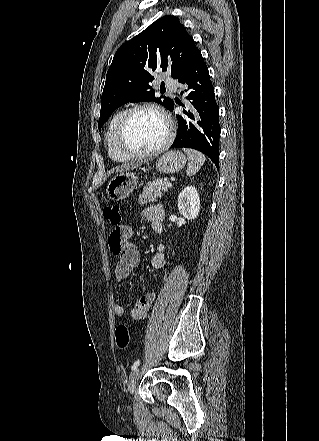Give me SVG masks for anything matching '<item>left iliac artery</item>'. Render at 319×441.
<instances>
[{
	"label": "left iliac artery",
	"instance_id": "44dca946",
	"mask_svg": "<svg viewBox=\"0 0 319 441\" xmlns=\"http://www.w3.org/2000/svg\"><path fill=\"white\" fill-rule=\"evenodd\" d=\"M139 364H140V360L135 361V362L132 364L131 369H132V370H135V369L139 366Z\"/></svg>",
	"mask_w": 319,
	"mask_h": 441
}]
</instances>
